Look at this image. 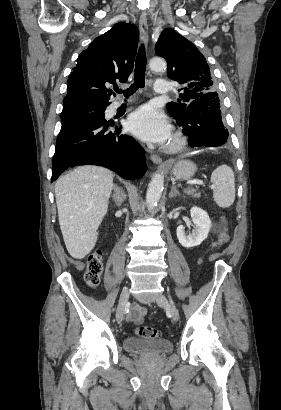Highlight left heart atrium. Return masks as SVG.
<instances>
[{"label": "left heart atrium", "mask_w": 281, "mask_h": 410, "mask_svg": "<svg viewBox=\"0 0 281 410\" xmlns=\"http://www.w3.org/2000/svg\"><path fill=\"white\" fill-rule=\"evenodd\" d=\"M129 131L146 142L164 144L170 140L171 125L165 114L151 105L133 112L127 121Z\"/></svg>", "instance_id": "obj_1"}]
</instances>
